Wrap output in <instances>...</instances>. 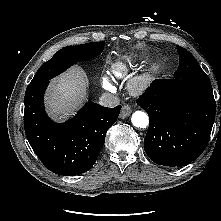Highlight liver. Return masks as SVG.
Returning <instances> with one entry per match:
<instances>
[{
    "label": "liver",
    "mask_w": 221,
    "mask_h": 221,
    "mask_svg": "<svg viewBox=\"0 0 221 221\" xmlns=\"http://www.w3.org/2000/svg\"><path fill=\"white\" fill-rule=\"evenodd\" d=\"M88 81L85 72L73 67L52 81L46 105L52 118L62 121L74 113L87 95Z\"/></svg>",
    "instance_id": "6515ba94"
}]
</instances>
